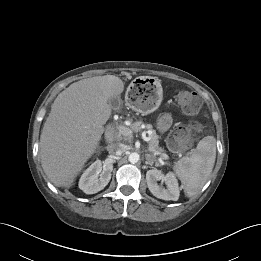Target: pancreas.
<instances>
[{"label": "pancreas", "mask_w": 261, "mask_h": 261, "mask_svg": "<svg viewBox=\"0 0 261 261\" xmlns=\"http://www.w3.org/2000/svg\"><path fill=\"white\" fill-rule=\"evenodd\" d=\"M142 122H135L133 123V125L131 126V128H129L132 132H138L141 131L142 129ZM145 128L148 130V137L150 138L149 144L152 147V153L153 156L152 158L154 159L156 156L159 155L160 159L166 160L168 159V156L166 157V154L164 153V149L162 147L159 146V136L156 134V131L152 129V125L147 124L145 125Z\"/></svg>", "instance_id": "1"}]
</instances>
